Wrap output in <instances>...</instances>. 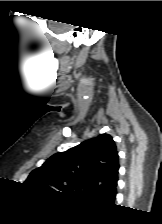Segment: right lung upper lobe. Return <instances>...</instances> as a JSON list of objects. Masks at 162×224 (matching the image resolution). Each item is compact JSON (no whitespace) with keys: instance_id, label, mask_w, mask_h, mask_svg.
Returning <instances> with one entry per match:
<instances>
[{"instance_id":"1","label":"right lung upper lobe","mask_w":162,"mask_h":224,"mask_svg":"<svg viewBox=\"0 0 162 224\" xmlns=\"http://www.w3.org/2000/svg\"><path fill=\"white\" fill-rule=\"evenodd\" d=\"M119 156L108 134L52 155L25 183L33 188L78 195L92 202H111L116 195Z\"/></svg>"}]
</instances>
